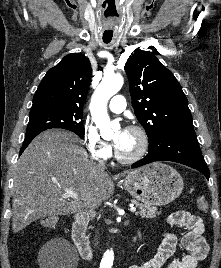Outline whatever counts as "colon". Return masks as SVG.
I'll list each match as a JSON object with an SVG mask.
<instances>
[{"mask_svg": "<svg viewBox=\"0 0 221 268\" xmlns=\"http://www.w3.org/2000/svg\"><path fill=\"white\" fill-rule=\"evenodd\" d=\"M196 206L201 212H207L209 209L208 201L203 196L197 197ZM41 224L46 229H53L57 226L58 219L55 216H48L42 219Z\"/></svg>", "mask_w": 221, "mask_h": 268, "instance_id": "5ec220e1", "label": "colon"}]
</instances>
